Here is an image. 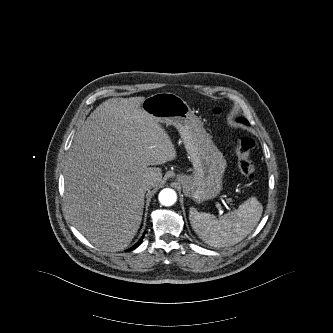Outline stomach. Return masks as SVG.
I'll list each match as a JSON object with an SVG mask.
<instances>
[{
  "label": "stomach",
  "instance_id": "obj_1",
  "mask_svg": "<svg viewBox=\"0 0 333 333\" xmlns=\"http://www.w3.org/2000/svg\"><path fill=\"white\" fill-rule=\"evenodd\" d=\"M141 109L178 130L194 167L192 175H177L185 195L197 203L218 196L226 160L187 102L174 93L161 92L145 98Z\"/></svg>",
  "mask_w": 333,
  "mask_h": 333
}]
</instances>
